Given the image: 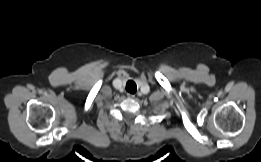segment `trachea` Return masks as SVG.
Returning a JSON list of instances; mask_svg holds the SVG:
<instances>
[{"mask_svg": "<svg viewBox=\"0 0 261 162\" xmlns=\"http://www.w3.org/2000/svg\"><path fill=\"white\" fill-rule=\"evenodd\" d=\"M126 90L129 93L134 94L137 91V86H136L135 82L132 80L128 81L126 84Z\"/></svg>", "mask_w": 261, "mask_h": 162, "instance_id": "3493384b", "label": "trachea"}]
</instances>
